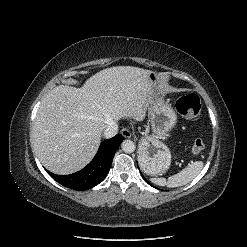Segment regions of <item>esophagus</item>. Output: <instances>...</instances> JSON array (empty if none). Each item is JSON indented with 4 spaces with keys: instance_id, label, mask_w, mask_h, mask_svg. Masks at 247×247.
<instances>
[{
    "instance_id": "1",
    "label": "esophagus",
    "mask_w": 247,
    "mask_h": 247,
    "mask_svg": "<svg viewBox=\"0 0 247 247\" xmlns=\"http://www.w3.org/2000/svg\"><path fill=\"white\" fill-rule=\"evenodd\" d=\"M121 135L124 137V138H130L132 136V131L125 127L121 130Z\"/></svg>"
}]
</instances>
